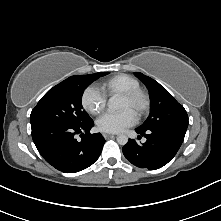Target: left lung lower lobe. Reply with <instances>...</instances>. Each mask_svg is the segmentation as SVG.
Returning <instances> with one entry per match:
<instances>
[{
    "mask_svg": "<svg viewBox=\"0 0 221 221\" xmlns=\"http://www.w3.org/2000/svg\"><path fill=\"white\" fill-rule=\"evenodd\" d=\"M135 130L147 140L140 145L135 140L129 139L122 148L123 154L135 166L155 170L166 165L176 155L187 128L165 126L146 131L139 128Z\"/></svg>",
    "mask_w": 221,
    "mask_h": 221,
    "instance_id": "1",
    "label": "left lung lower lobe"
}]
</instances>
